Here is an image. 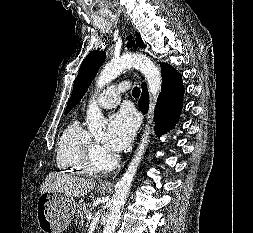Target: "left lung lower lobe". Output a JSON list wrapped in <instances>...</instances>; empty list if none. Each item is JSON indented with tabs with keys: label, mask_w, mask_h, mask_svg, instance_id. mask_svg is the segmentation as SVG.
<instances>
[{
	"label": "left lung lower lobe",
	"mask_w": 253,
	"mask_h": 233,
	"mask_svg": "<svg viewBox=\"0 0 253 233\" xmlns=\"http://www.w3.org/2000/svg\"><path fill=\"white\" fill-rule=\"evenodd\" d=\"M162 87L155 108L156 133L158 136L167 132L178 121L182 109L184 87L182 78L171 66L162 63ZM149 94L145 83L139 109L145 114L148 110Z\"/></svg>",
	"instance_id": "0a47b994"
}]
</instances>
